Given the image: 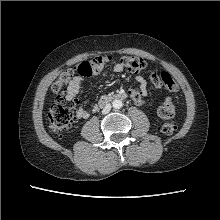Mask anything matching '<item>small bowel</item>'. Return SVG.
Masks as SVG:
<instances>
[{
	"label": "small bowel",
	"instance_id": "1",
	"mask_svg": "<svg viewBox=\"0 0 220 220\" xmlns=\"http://www.w3.org/2000/svg\"><path fill=\"white\" fill-rule=\"evenodd\" d=\"M86 62L91 63L90 61H86ZM86 62H83V63H86ZM83 63H81V64H83ZM105 64L106 63L100 64V65L90 64L92 70L89 74L84 75L82 73V69H80L79 74L71 80V82L69 84V98L71 100H73L75 102V104H78V96H80L83 93V80H84V78L92 76V75L100 74L103 71ZM113 70L116 73H121L124 70V66L121 63H117L114 65ZM136 80L139 84V88L138 89H130L128 91V94H129L131 100L135 104L141 105V104H143V97L146 96V94H147V82L142 76H137ZM97 110H98L97 105H94L91 108V110H88L83 107H79L77 110V117L81 118V119H86L89 117L91 112H96Z\"/></svg>",
	"mask_w": 220,
	"mask_h": 220
}]
</instances>
